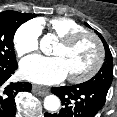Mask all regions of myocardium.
Masks as SVG:
<instances>
[{
    "instance_id": "f54148a6",
    "label": "myocardium",
    "mask_w": 117,
    "mask_h": 117,
    "mask_svg": "<svg viewBox=\"0 0 117 117\" xmlns=\"http://www.w3.org/2000/svg\"><path fill=\"white\" fill-rule=\"evenodd\" d=\"M83 37H90L95 42L97 48V57L93 66L83 74L78 76H68V80L72 83H82L88 81L98 73L104 62V47L102 41L94 32L82 30L70 33L64 37H61L59 39V43L64 46H71Z\"/></svg>"
}]
</instances>
